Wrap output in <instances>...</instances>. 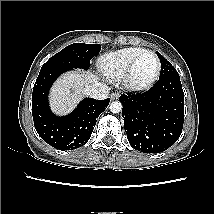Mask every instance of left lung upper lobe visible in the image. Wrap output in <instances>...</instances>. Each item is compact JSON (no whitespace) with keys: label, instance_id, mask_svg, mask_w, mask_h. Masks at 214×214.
<instances>
[{"label":"left lung upper lobe","instance_id":"left-lung-upper-lobe-1","mask_svg":"<svg viewBox=\"0 0 214 214\" xmlns=\"http://www.w3.org/2000/svg\"><path fill=\"white\" fill-rule=\"evenodd\" d=\"M157 55L161 61V72L160 77H167V76H179L176 69L168 62L160 53L157 52Z\"/></svg>","mask_w":214,"mask_h":214}]
</instances>
